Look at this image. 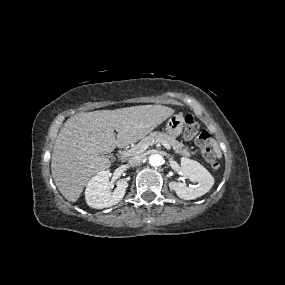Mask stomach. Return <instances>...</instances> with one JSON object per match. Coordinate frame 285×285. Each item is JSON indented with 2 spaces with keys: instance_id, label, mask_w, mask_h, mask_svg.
<instances>
[{
  "instance_id": "1",
  "label": "stomach",
  "mask_w": 285,
  "mask_h": 285,
  "mask_svg": "<svg viewBox=\"0 0 285 285\" xmlns=\"http://www.w3.org/2000/svg\"><path fill=\"white\" fill-rule=\"evenodd\" d=\"M183 126V116L180 114L172 115L166 123V132L172 137H177L182 133Z\"/></svg>"
}]
</instances>
